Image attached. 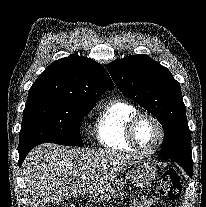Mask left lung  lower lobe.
<instances>
[{"instance_id": "0a47b994", "label": "left lung lower lobe", "mask_w": 206, "mask_h": 207, "mask_svg": "<svg viewBox=\"0 0 206 207\" xmlns=\"http://www.w3.org/2000/svg\"><path fill=\"white\" fill-rule=\"evenodd\" d=\"M179 165L184 168V170L190 175V177L192 176V169H193V167H191L189 165H185V164H183L181 162H180Z\"/></svg>"}]
</instances>
